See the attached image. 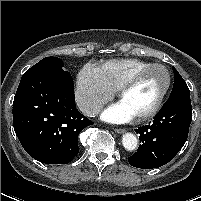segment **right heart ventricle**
I'll return each mask as SVG.
<instances>
[{
	"label": "right heart ventricle",
	"instance_id": "1",
	"mask_svg": "<svg viewBox=\"0 0 201 201\" xmlns=\"http://www.w3.org/2000/svg\"><path fill=\"white\" fill-rule=\"evenodd\" d=\"M150 64L139 59L126 58L106 61L97 68L104 82L116 92L126 79Z\"/></svg>",
	"mask_w": 201,
	"mask_h": 201
}]
</instances>
